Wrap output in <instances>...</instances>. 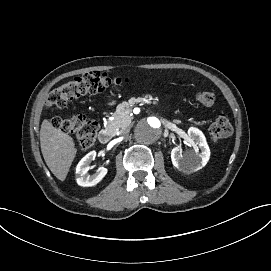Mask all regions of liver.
<instances>
[{"instance_id":"liver-1","label":"liver","mask_w":271,"mask_h":271,"mask_svg":"<svg viewBox=\"0 0 271 271\" xmlns=\"http://www.w3.org/2000/svg\"><path fill=\"white\" fill-rule=\"evenodd\" d=\"M39 135L41 151L47 166L56 178L63 181L76 152L72 138L55 129L47 120L42 121Z\"/></svg>"}]
</instances>
